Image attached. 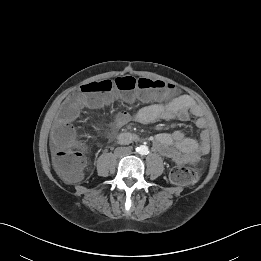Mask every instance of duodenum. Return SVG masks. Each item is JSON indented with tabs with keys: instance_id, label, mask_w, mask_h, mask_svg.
Masks as SVG:
<instances>
[{
	"instance_id": "410a0bca",
	"label": "duodenum",
	"mask_w": 261,
	"mask_h": 261,
	"mask_svg": "<svg viewBox=\"0 0 261 261\" xmlns=\"http://www.w3.org/2000/svg\"><path fill=\"white\" fill-rule=\"evenodd\" d=\"M136 137L131 133H121L118 136V141L122 144H127L133 141H136Z\"/></svg>"
}]
</instances>
